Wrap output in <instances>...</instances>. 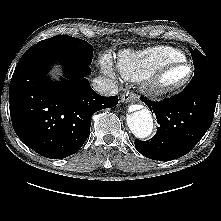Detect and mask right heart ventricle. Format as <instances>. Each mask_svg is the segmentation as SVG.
Masks as SVG:
<instances>
[{"mask_svg": "<svg viewBox=\"0 0 221 221\" xmlns=\"http://www.w3.org/2000/svg\"><path fill=\"white\" fill-rule=\"evenodd\" d=\"M185 60L184 54L173 47L157 46L140 51L123 50L118 54L117 68L129 81L149 79L160 68Z\"/></svg>", "mask_w": 221, "mask_h": 221, "instance_id": "obj_1", "label": "right heart ventricle"}]
</instances>
